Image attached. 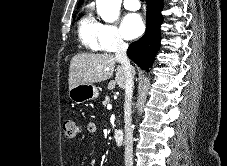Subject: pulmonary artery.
Instances as JSON below:
<instances>
[{
	"label": "pulmonary artery",
	"mask_w": 227,
	"mask_h": 166,
	"mask_svg": "<svg viewBox=\"0 0 227 166\" xmlns=\"http://www.w3.org/2000/svg\"><path fill=\"white\" fill-rule=\"evenodd\" d=\"M123 5L126 9L131 11H136L141 6L139 0H124Z\"/></svg>",
	"instance_id": "pulmonary-artery-1"
}]
</instances>
